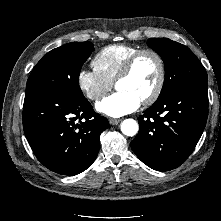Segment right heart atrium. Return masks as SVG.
<instances>
[{"label": "right heart atrium", "mask_w": 221, "mask_h": 221, "mask_svg": "<svg viewBox=\"0 0 221 221\" xmlns=\"http://www.w3.org/2000/svg\"><path fill=\"white\" fill-rule=\"evenodd\" d=\"M77 85L84 96L93 101L101 100L113 87V83L100 75L95 69H81Z\"/></svg>", "instance_id": "d8ad5b80"}]
</instances>
